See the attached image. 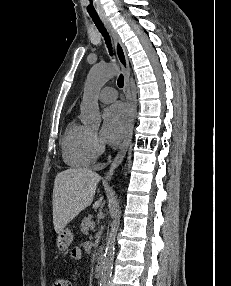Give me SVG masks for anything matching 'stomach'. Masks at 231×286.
<instances>
[{
  "label": "stomach",
  "instance_id": "0dacf381",
  "mask_svg": "<svg viewBox=\"0 0 231 286\" xmlns=\"http://www.w3.org/2000/svg\"><path fill=\"white\" fill-rule=\"evenodd\" d=\"M73 241V234L68 228H64L58 233L56 245L59 251H66Z\"/></svg>",
  "mask_w": 231,
  "mask_h": 286
}]
</instances>
